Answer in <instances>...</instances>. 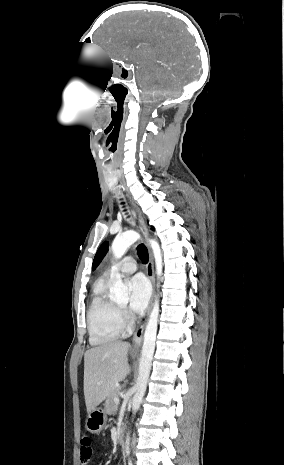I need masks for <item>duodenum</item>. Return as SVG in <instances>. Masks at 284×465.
<instances>
[{"instance_id":"1","label":"duodenum","mask_w":284,"mask_h":465,"mask_svg":"<svg viewBox=\"0 0 284 465\" xmlns=\"http://www.w3.org/2000/svg\"><path fill=\"white\" fill-rule=\"evenodd\" d=\"M125 434H126V429L124 427L120 428L118 431H117V437H118V440L120 442H122L125 438Z\"/></svg>"}]
</instances>
